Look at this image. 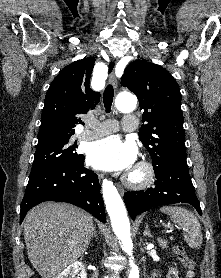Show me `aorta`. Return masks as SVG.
<instances>
[{"mask_svg":"<svg viewBox=\"0 0 221 278\" xmlns=\"http://www.w3.org/2000/svg\"><path fill=\"white\" fill-rule=\"evenodd\" d=\"M117 109L121 112H129L136 106V99L131 95L121 94L116 99ZM102 193L106 209L111 219V225L116 236L121 240L123 250L130 256L129 278H139V270L134 263L133 242L130 234V222L126 207L119 195L117 188L110 180H103Z\"/></svg>","mask_w":221,"mask_h":278,"instance_id":"aorta-1","label":"aorta"}]
</instances>
